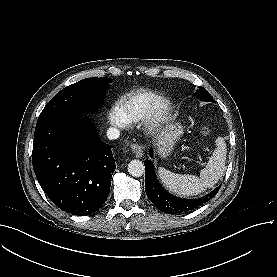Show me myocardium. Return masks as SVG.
I'll list each match as a JSON object with an SVG mask.
<instances>
[{"mask_svg":"<svg viewBox=\"0 0 277 277\" xmlns=\"http://www.w3.org/2000/svg\"><path fill=\"white\" fill-rule=\"evenodd\" d=\"M172 111V105L170 101L165 97L157 98L149 109V113L146 119V126L150 130H154L165 121Z\"/></svg>","mask_w":277,"mask_h":277,"instance_id":"1","label":"myocardium"}]
</instances>
